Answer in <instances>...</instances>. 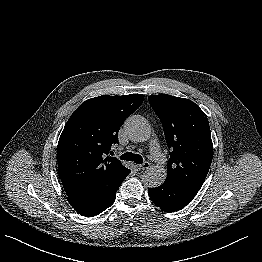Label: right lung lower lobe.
Segmentation results:
<instances>
[{
  "instance_id": "98d812e1",
  "label": "right lung lower lobe",
  "mask_w": 262,
  "mask_h": 262,
  "mask_svg": "<svg viewBox=\"0 0 262 262\" xmlns=\"http://www.w3.org/2000/svg\"><path fill=\"white\" fill-rule=\"evenodd\" d=\"M119 186L108 192L67 195V199L79 214L92 217L100 214L114 203Z\"/></svg>"
}]
</instances>
